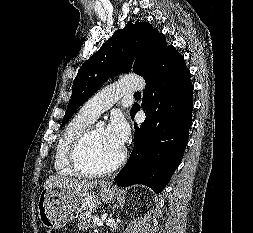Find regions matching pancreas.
I'll return each mask as SVG.
<instances>
[{
  "label": "pancreas",
  "instance_id": "cf45deb5",
  "mask_svg": "<svg viewBox=\"0 0 253 233\" xmlns=\"http://www.w3.org/2000/svg\"><path fill=\"white\" fill-rule=\"evenodd\" d=\"M92 218L93 216L91 214L81 213L78 218V228L82 230L97 228V226L93 223Z\"/></svg>",
  "mask_w": 253,
  "mask_h": 233
}]
</instances>
